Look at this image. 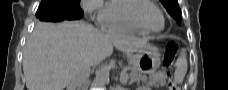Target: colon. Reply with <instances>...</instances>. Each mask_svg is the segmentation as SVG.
<instances>
[{"label": "colon", "instance_id": "colon-1", "mask_svg": "<svg viewBox=\"0 0 228 90\" xmlns=\"http://www.w3.org/2000/svg\"><path fill=\"white\" fill-rule=\"evenodd\" d=\"M178 50H179V46L176 42H174V41L168 42V44L166 46V50H165V55H164V65L169 70L170 74H171V67L178 54ZM168 89L169 90H179V87L173 81L171 76H170L169 82H168Z\"/></svg>", "mask_w": 228, "mask_h": 90}]
</instances>
